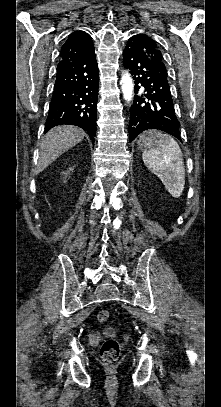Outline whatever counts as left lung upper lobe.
I'll list each match as a JSON object with an SVG mask.
<instances>
[{
    "mask_svg": "<svg viewBox=\"0 0 221 407\" xmlns=\"http://www.w3.org/2000/svg\"><path fill=\"white\" fill-rule=\"evenodd\" d=\"M135 36H137V40H139L140 43L143 44L144 49L148 54L149 58L152 61H154L157 65L166 70L163 62L162 53L159 47L157 46L155 40H153L151 37H148L145 34H137Z\"/></svg>",
    "mask_w": 221,
    "mask_h": 407,
    "instance_id": "5c2ea615",
    "label": "left lung upper lobe"
}]
</instances>
